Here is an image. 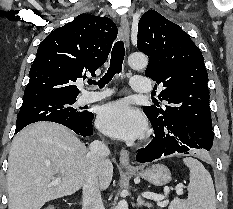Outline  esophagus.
Instances as JSON below:
<instances>
[{
	"label": "esophagus",
	"mask_w": 233,
	"mask_h": 209,
	"mask_svg": "<svg viewBox=\"0 0 233 209\" xmlns=\"http://www.w3.org/2000/svg\"><path fill=\"white\" fill-rule=\"evenodd\" d=\"M120 32H121V35H122V37H123V39L125 41L126 46L128 47L129 46L130 26H129V22L126 19V17L121 18ZM119 161H120V164L123 167L132 168V166L130 165L129 154L125 149H122L120 151Z\"/></svg>",
	"instance_id": "obj_1"
}]
</instances>
